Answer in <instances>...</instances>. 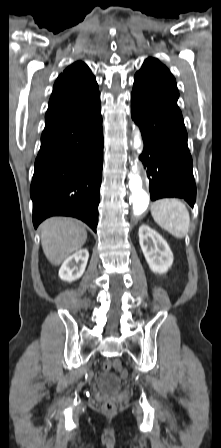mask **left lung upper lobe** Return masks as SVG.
Instances as JSON below:
<instances>
[{
    "mask_svg": "<svg viewBox=\"0 0 221 448\" xmlns=\"http://www.w3.org/2000/svg\"><path fill=\"white\" fill-rule=\"evenodd\" d=\"M133 88L179 109L176 80L167 67L156 58H147L144 61L142 68L135 74Z\"/></svg>",
    "mask_w": 221,
    "mask_h": 448,
    "instance_id": "5c2ea615",
    "label": "left lung upper lobe"
}]
</instances>
